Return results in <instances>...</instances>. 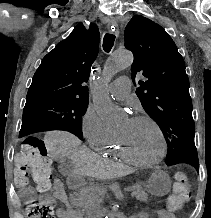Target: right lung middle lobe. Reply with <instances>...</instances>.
I'll list each match as a JSON object with an SVG mask.
<instances>
[{
  "instance_id": "1",
  "label": "right lung middle lobe",
  "mask_w": 211,
  "mask_h": 218,
  "mask_svg": "<svg viewBox=\"0 0 211 218\" xmlns=\"http://www.w3.org/2000/svg\"><path fill=\"white\" fill-rule=\"evenodd\" d=\"M88 101L76 99H43L25 104L21 135L47 130H66L80 139L82 135V116Z\"/></svg>"
}]
</instances>
